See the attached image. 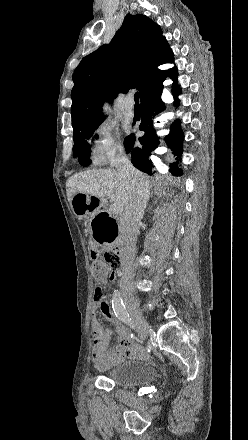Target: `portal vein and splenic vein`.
<instances>
[{"label": "portal vein and splenic vein", "mask_w": 248, "mask_h": 440, "mask_svg": "<svg viewBox=\"0 0 248 440\" xmlns=\"http://www.w3.org/2000/svg\"><path fill=\"white\" fill-rule=\"evenodd\" d=\"M110 210L115 213H120L123 211V207H122V205H120L118 203H112L110 205Z\"/></svg>", "instance_id": "obj_1"}]
</instances>
